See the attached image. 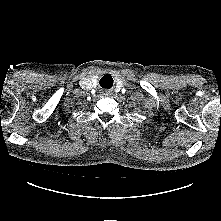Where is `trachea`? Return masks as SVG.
<instances>
[{
    "label": "trachea",
    "mask_w": 221,
    "mask_h": 221,
    "mask_svg": "<svg viewBox=\"0 0 221 221\" xmlns=\"http://www.w3.org/2000/svg\"><path fill=\"white\" fill-rule=\"evenodd\" d=\"M113 79L111 78V76L109 75V74H106V75H104L101 79H100V85L102 86V87H105V86H107V84H110L111 85V83L113 84ZM107 88V87H106Z\"/></svg>",
    "instance_id": "3493384b"
}]
</instances>
